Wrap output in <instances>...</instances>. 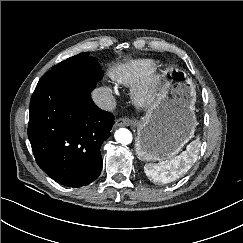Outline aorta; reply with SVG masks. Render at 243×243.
Masks as SVG:
<instances>
[{
	"instance_id": "obj_1",
	"label": "aorta",
	"mask_w": 243,
	"mask_h": 243,
	"mask_svg": "<svg viewBox=\"0 0 243 243\" xmlns=\"http://www.w3.org/2000/svg\"><path fill=\"white\" fill-rule=\"evenodd\" d=\"M115 139L118 143L128 145L132 142V133L126 128H120L115 132Z\"/></svg>"
}]
</instances>
